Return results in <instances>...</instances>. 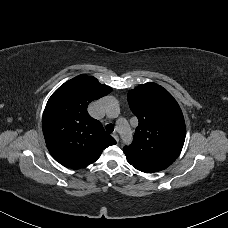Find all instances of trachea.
Instances as JSON below:
<instances>
[{
  "instance_id": "obj_1",
  "label": "trachea",
  "mask_w": 228,
  "mask_h": 228,
  "mask_svg": "<svg viewBox=\"0 0 228 228\" xmlns=\"http://www.w3.org/2000/svg\"><path fill=\"white\" fill-rule=\"evenodd\" d=\"M106 131L108 133H112L114 131V125L113 124L106 125Z\"/></svg>"
}]
</instances>
